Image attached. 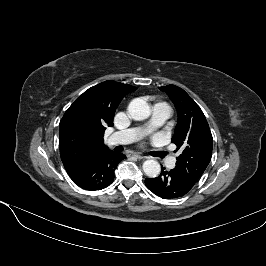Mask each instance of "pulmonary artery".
Instances as JSON below:
<instances>
[{
    "mask_svg": "<svg viewBox=\"0 0 266 266\" xmlns=\"http://www.w3.org/2000/svg\"><path fill=\"white\" fill-rule=\"evenodd\" d=\"M170 116V111L162 106V105H155L153 107V116H152V123L150 127H156L163 124L168 117ZM139 134L137 129H127L119 132H115L108 138V142L111 145H118V144H128L133 142ZM175 158L168 157L166 159V164L169 168H173L175 166Z\"/></svg>",
    "mask_w": 266,
    "mask_h": 266,
    "instance_id": "1",
    "label": "pulmonary artery"
}]
</instances>
